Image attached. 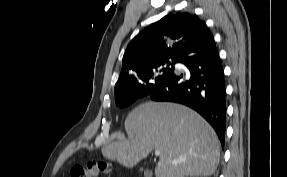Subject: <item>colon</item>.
I'll return each mask as SVG.
<instances>
[{
  "label": "colon",
  "instance_id": "5ec220e1",
  "mask_svg": "<svg viewBox=\"0 0 287 177\" xmlns=\"http://www.w3.org/2000/svg\"><path fill=\"white\" fill-rule=\"evenodd\" d=\"M112 166L102 161L91 162L87 167H78L71 170V177H101L110 173Z\"/></svg>",
  "mask_w": 287,
  "mask_h": 177
}]
</instances>
